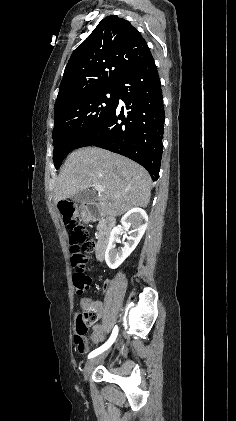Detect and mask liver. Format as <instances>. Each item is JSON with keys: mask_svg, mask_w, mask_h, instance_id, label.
I'll use <instances>...</instances> for the list:
<instances>
[{"mask_svg": "<svg viewBox=\"0 0 236 421\" xmlns=\"http://www.w3.org/2000/svg\"><path fill=\"white\" fill-rule=\"evenodd\" d=\"M92 184H102L98 204L102 215L109 217H120L135 206L145 208L150 200L152 180L141 164L92 146L78 148L66 158L56 178L54 200L69 198Z\"/></svg>", "mask_w": 236, "mask_h": 421, "instance_id": "obj_1", "label": "liver"}]
</instances>
